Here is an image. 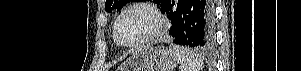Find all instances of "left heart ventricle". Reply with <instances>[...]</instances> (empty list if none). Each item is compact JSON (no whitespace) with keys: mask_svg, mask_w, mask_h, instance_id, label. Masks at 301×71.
Wrapping results in <instances>:
<instances>
[{"mask_svg":"<svg viewBox=\"0 0 301 71\" xmlns=\"http://www.w3.org/2000/svg\"><path fill=\"white\" fill-rule=\"evenodd\" d=\"M153 27V17L143 9H135L120 21L118 35L123 43L132 44L144 38Z\"/></svg>","mask_w":301,"mask_h":71,"instance_id":"1","label":"left heart ventricle"}]
</instances>
